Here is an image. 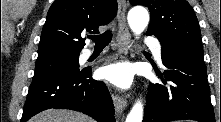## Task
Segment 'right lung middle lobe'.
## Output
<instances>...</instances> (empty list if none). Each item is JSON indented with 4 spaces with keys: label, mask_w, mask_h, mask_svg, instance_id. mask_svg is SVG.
<instances>
[{
    "label": "right lung middle lobe",
    "mask_w": 221,
    "mask_h": 122,
    "mask_svg": "<svg viewBox=\"0 0 221 122\" xmlns=\"http://www.w3.org/2000/svg\"><path fill=\"white\" fill-rule=\"evenodd\" d=\"M79 55L56 56L39 59L35 64L33 79L43 78L59 73L79 72Z\"/></svg>",
    "instance_id": "dd1d6c3e"
}]
</instances>
